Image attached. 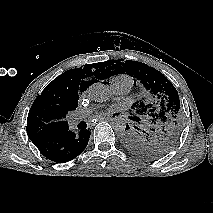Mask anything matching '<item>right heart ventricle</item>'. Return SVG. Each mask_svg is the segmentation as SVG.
I'll return each mask as SVG.
<instances>
[{
  "label": "right heart ventricle",
  "mask_w": 213,
  "mask_h": 213,
  "mask_svg": "<svg viewBox=\"0 0 213 213\" xmlns=\"http://www.w3.org/2000/svg\"><path fill=\"white\" fill-rule=\"evenodd\" d=\"M124 78L130 79V78H129L128 76H126V75L117 76V77H115L114 79H124Z\"/></svg>",
  "instance_id": "obj_1"
}]
</instances>
